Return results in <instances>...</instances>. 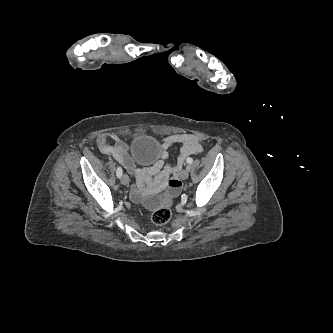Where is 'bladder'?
I'll list each match as a JSON object with an SVG mask.
<instances>
[{"mask_svg": "<svg viewBox=\"0 0 333 333\" xmlns=\"http://www.w3.org/2000/svg\"><path fill=\"white\" fill-rule=\"evenodd\" d=\"M162 153L159 140L151 135L142 134L136 136L131 143V155L134 160L141 164L155 162Z\"/></svg>", "mask_w": 333, "mask_h": 333, "instance_id": "1", "label": "bladder"}]
</instances>
